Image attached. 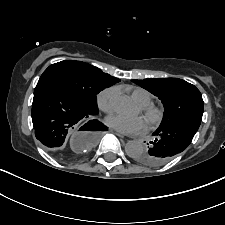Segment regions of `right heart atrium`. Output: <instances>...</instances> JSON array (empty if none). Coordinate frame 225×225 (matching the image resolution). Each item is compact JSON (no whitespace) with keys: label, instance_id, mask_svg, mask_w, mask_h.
<instances>
[{"label":"right heart atrium","instance_id":"obj_1","mask_svg":"<svg viewBox=\"0 0 225 225\" xmlns=\"http://www.w3.org/2000/svg\"><path fill=\"white\" fill-rule=\"evenodd\" d=\"M116 89L114 87L105 88L97 95V106L105 113H112L114 110V99Z\"/></svg>","mask_w":225,"mask_h":225}]
</instances>
